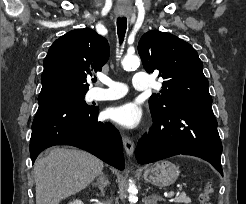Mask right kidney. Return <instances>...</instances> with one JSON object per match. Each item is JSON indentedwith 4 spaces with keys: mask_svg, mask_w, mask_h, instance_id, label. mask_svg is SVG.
Listing matches in <instances>:
<instances>
[{
    "mask_svg": "<svg viewBox=\"0 0 246 204\" xmlns=\"http://www.w3.org/2000/svg\"><path fill=\"white\" fill-rule=\"evenodd\" d=\"M68 204H83V202L81 200L76 199V200L69 202Z\"/></svg>",
    "mask_w": 246,
    "mask_h": 204,
    "instance_id": "obj_1",
    "label": "right kidney"
}]
</instances>
